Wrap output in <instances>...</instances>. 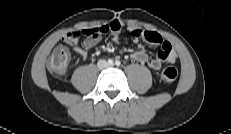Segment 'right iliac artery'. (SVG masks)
<instances>
[{"mask_svg":"<svg viewBox=\"0 0 231 134\" xmlns=\"http://www.w3.org/2000/svg\"><path fill=\"white\" fill-rule=\"evenodd\" d=\"M108 64H110V65L113 64V60H112V59H109V60H108Z\"/></svg>","mask_w":231,"mask_h":134,"instance_id":"obj_1","label":"right iliac artery"}]
</instances>
